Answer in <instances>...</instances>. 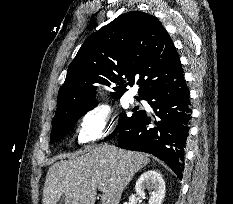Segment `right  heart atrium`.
<instances>
[{
	"label": "right heart atrium",
	"instance_id": "d8ad5b80",
	"mask_svg": "<svg viewBox=\"0 0 233 204\" xmlns=\"http://www.w3.org/2000/svg\"><path fill=\"white\" fill-rule=\"evenodd\" d=\"M115 127V114L107 105H97L81 117L77 129V141L81 144L95 142L109 136Z\"/></svg>",
	"mask_w": 233,
	"mask_h": 204
}]
</instances>
